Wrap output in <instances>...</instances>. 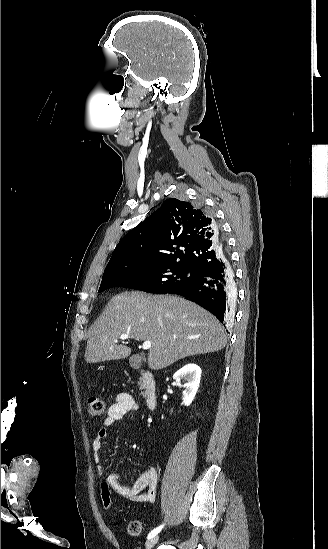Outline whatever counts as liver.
I'll use <instances>...</instances> for the list:
<instances>
[{
  "label": "liver",
  "mask_w": 328,
  "mask_h": 549,
  "mask_svg": "<svg viewBox=\"0 0 328 549\" xmlns=\"http://www.w3.org/2000/svg\"><path fill=\"white\" fill-rule=\"evenodd\" d=\"M86 363L127 359L130 347L116 345L120 335L151 341L150 369H165L179 359L221 351L223 327L209 311L177 295L125 291L112 297L89 329ZM177 337V339H173Z\"/></svg>",
  "instance_id": "liver-1"
}]
</instances>
